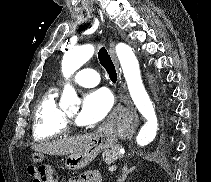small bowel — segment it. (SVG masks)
Masks as SVG:
<instances>
[{
    "mask_svg": "<svg viewBox=\"0 0 211 182\" xmlns=\"http://www.w3.org/2000/svg\"><path fill=\"white\" fill-rule=\"evenodd\" d=\"M33 182L38 181L33 178ZM69 182H101V177L96 171H88L79 176L71 178Z\"/></svg>",
    "mask_w": 211,
    "mask_h": 182,
    "instance_id": "1",
    "label": "small bowel"
}]
</instances>
